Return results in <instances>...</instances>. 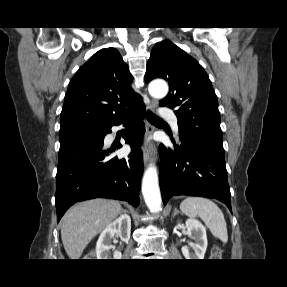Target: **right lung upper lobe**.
<instances>
[{"label": "right lung upper lobe", "mask_w": 287, "mask_h": 287, "mask_svg": "<svg viewBox=\"0 0 287 287\" xmlns=\"http://www.w3.org/2000/svg\"><path fill=\"white\" fill-rule=\"evenodd\" d=\"M118 50L105 48L79 68L68 85L60 125L101 126L143 104Z\"/></svg>", "instance_id": "right-lung-upper-lobe-1"}]
</instances>
